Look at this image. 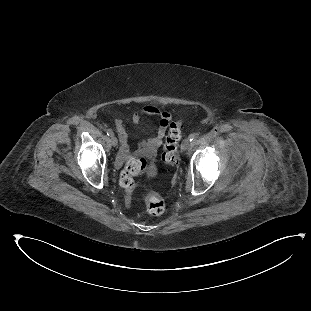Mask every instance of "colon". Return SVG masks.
Segmentation results:
<instances>
[{
  "label": "colon",
  "instance_id": "colon-1",
  "mask_svg": "<svg viewBox=\"0 0 311 311\" xmlns=\"http://www.w3.org/2000/svg\"><path fill=\"white\" fill-rule=\"evenodd\" d=\"M183 121L178 120L170 123L165 136L163 145L162 161L169 168H173L177 163L178 144L182 135ZM146 166V161L142 157L135 156L131 158L127 167L122 171L120 183L126 193L131 194L135 189L133 180L136 172L142 171ZM146 203L148 211L158 215L164 211V201L161 196L154 192L146 193Z\"/></svg>",
  "mask_w": 311,
  "mask_h": 311
}]
</instances>
